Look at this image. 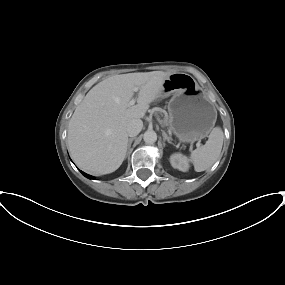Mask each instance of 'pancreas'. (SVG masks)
Here are the masks:
<instances>
[{
  "label": "pancreas",
  "mask_w": 285,
  "mask_h": 285,
  "mask_svg": "<svg viewBox=\"0 0 285 285\" xmlns=\"http://www.w3.org/2000/svg\"><path fill=\"white\" fill-rule=\"evenodd\" d=\"M154 111H155L156 113H162L163 110H162L161 108H155ZM162 122H163L164 125H167V124H168V122H167L166 119H164Z\"/></svg>",
  "instance_id": "obj_1"
}]
</instances>
